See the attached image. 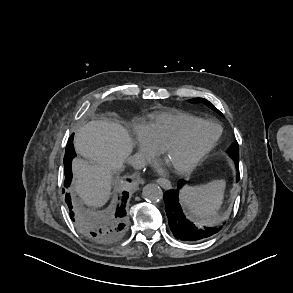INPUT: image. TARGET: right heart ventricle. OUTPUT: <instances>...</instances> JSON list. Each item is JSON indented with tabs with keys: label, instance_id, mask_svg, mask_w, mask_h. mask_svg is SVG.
Returning a JSON list of instances; mask_svg holds the SVG:
<instances>
[{
	"label": "right heart ventricle",
	"instance_id": "obj_1",
	"mask_svg": "<svg viewBox=\"0 0 293 293\" xmlns=\"http://www.w3.org/2000/svg\"><path fill=\"white\" fill-rule=\"evenodd\" d=\"M200 120L198 117L180 110L154 113L143 125L144 136L156 148L172 141L188 124Z\"/></svg>",
	"mask_w": 293,
	"mask_h": 293
}]
</instances>
